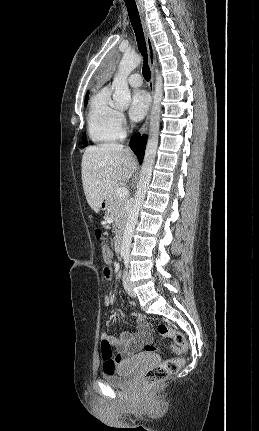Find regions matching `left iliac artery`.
<instances>
[{
	"label": "left iliac artery",
	"instance_id": "44dca946",
	"mask_svg": "<svg viewBox=\"0 0 259 431\" xmlns=\"http://www.w3.org/2000/svg\"><path fill=\"white\" fill-rule=\"evenodd\" d=\"M128 263H129V256H128V255H125V256H124V264H125V267H126V268L128 267Z\"/></svg>",
	"mask_w": 259,
	"mask_h": 431
}]
</instances>
